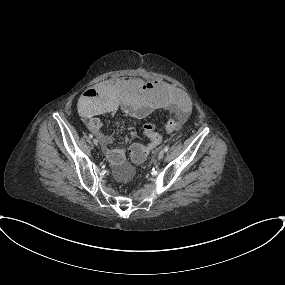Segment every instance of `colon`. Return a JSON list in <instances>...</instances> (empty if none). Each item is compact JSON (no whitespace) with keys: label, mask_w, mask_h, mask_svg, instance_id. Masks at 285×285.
Wrapping results in <instances>:
<instances>
[{"label":"colon","mask_w":285,"mask_h":285,"mask_svg":"<svg viewBox=\"0 0 285 285\" xmlns=\"http://www.w3.org/2000/svg\"><path fill=\"white\" fill-rule=\"evenodd\" d=\"M179 127L180 123L174 119H170L166 124L167 131H175ZM141 137L146 139L148 143L146 145L136 143L130 148L131 160L135 163L143 162L150 150L159 145L162 140L160 133L151 122H147L143 125Z\"/></svg>","instance_id":"obj_1"}]
</instances>
